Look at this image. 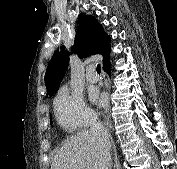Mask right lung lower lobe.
I'll return each mask as SVG.
<instances>
[{
    "mask_svg": "<svg viewBox=\"0 0 177 169\" xmlns=\"http://www.w3.org/2000/svg\"><path fill=\"white\" fill-rule=\"evenodd\" d=\"M103 69L109 76H111V65L110 64L104 66Z\"/></svg>",
    "mask_w": 177,
    "mask_h": 169,
    "instance_id": "98d812e1",
    "label": "right lung lower lobe"
}]
</instances>
